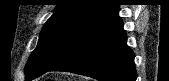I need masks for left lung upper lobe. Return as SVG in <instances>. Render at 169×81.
Returning <instances> with one entry per match:
<instances>
[{"label": "left lung upper lobe", "mask_w": 169, "mask_h": 81, "mask_svg": "<svg viewBox=\"0 0 169 81\" xmlns=\"http://www.w3.org/2000/svg\"><path fill=\"white\" fill-rule=\"evenodd\" d=\"M114 0H61L45 23L25 66V79L46 73L75 37L115 5Z\"/></svg>", "instance_id": "5c2ea615"}]
</instances>
